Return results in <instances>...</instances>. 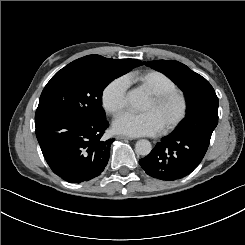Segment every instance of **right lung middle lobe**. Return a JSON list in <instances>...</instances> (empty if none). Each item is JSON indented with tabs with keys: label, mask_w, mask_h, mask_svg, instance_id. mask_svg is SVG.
Returning a JSON list of instances; mask_svg holds the SVG:
<instances>
[{
	"label": "right lung middle lobe",
	"mask_w": 245,
	"mask_h": 245,
	"mask_svg": "<svg viewBox=\"0 0 245 245\" xmlns=\"http://www.w3.org/2000/svg\"><path fill=\"white\" fill-rule=\"evenodd\" d=\"M142 64L135 59L114 60L100 55H88L69 63L43 89L35 120L55 115L88 121L105 119L101 107L104 88L113 79Z\"/></svg>",
	"instance_id": "1"
}]
</instances>
